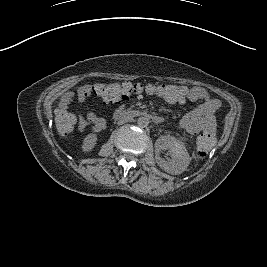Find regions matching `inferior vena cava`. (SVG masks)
I'll list each match as a JSON object with an SVG mask.
<instances>
[{
  "instance_id": "602c4592",
  "label": "inferior vena cava",
  "mask_w": 267,
  "mask_h": 267,
  "mask_svg": "<svg viewBox=\"0 0 267 267\" xmlns=\"http://www.w3.org/2000/svg\"><path fill=\"white\" fill-rule=\"evenodd\" d=\"M129 121H130V119H127V118L122 119V120L118 121V125H123L124 123L129 122Z\"/></svg>"
}]
</instances>
